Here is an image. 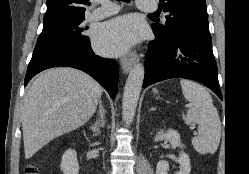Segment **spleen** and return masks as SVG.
Wrapping results in <instances>:
<instances>
[{"instance_id": "spleen-1", "label": "spleen", "mask_w": 249, "mask_h": 174, "mask_svg": "<svg viewBox=\"0 0 249 174\" xmlns=\"http://www.w3.org/2000/svg\"><path fill=\"white\" fill-rule=\"evenodd\" d=\"M180 83L184 97L190 102L184 120L198 124V135L192 138V145L200 154H214L220 143L221 121L212 97L196 82L181 80Z\"/></svg>"}]
</instances>
